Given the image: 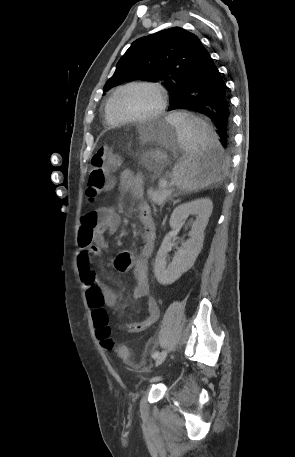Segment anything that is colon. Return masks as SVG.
Returning <instances> with one entry per match:
<instances>
[{"label": "colon", "instance_id": "colon-1", "mask_svg": "<svg viewBox=\"0 0 295 457\" xmlns=\"http://www.w3.org/2000/svg\"><path fill=\"white\" fill-rule=\"evenodd\" d=\"M120 161V157L109 146L99 148L92 156V167L86 189L90 200L95 199L113 185L111 174L117 169ZM92 306V319L97 338L101 342V349L110 351L115 360H128L131 354L130 349L120 345L119 341L110 339L109 317L103 304L100 301H92Z\"/></svg>", "mask_w": 295, "mask_h": 457}]
</instances>
